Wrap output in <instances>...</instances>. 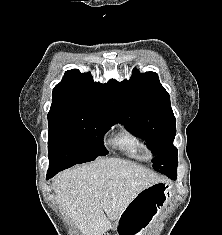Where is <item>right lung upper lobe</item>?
Segmentation results:
<instances>
[{
  "mask_svg": "<svg viewBox=\"0 0 222 235\" xmlns=\"http://www.w3.org/2000/svg\"><path fill=\"white\" fill-rule=\"evenodd\" d=\"M69 112L91 113L117 120L109 83H96L90 73H80L78 69L66 71L62 81L53 89L48 115Z\"/></svg>",
  "mask_w": 222,
  "mask_h": 235,
  "instance_id": "1",
  "label": "right lung upper lobe"
}]
</instances>
